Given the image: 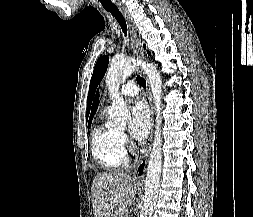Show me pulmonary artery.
<instances>
[{
  "label": "pulmonary artery",
  "instance_id": "e3ab8cb5",
  "mask_svg": "<svg viewBox=\"0 0 253 217\" xmlns=\"http://www.w3.org/2000/svg\"><path fill=\"white\" fill-rule=\"evenodd\" d=\"M138 92L139 88L134 82H127L120 88V94L123 96H135Z\"/></svg>",
  "mask_w": 253,
  "mask_h": 217
}]
</instances>
